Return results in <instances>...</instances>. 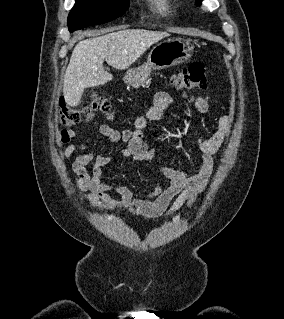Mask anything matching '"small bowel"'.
Listing matches in <instances>:
<instances>
[{"label":"small bowel","instance_id":"1","mask_svg":"<svg viewBox=\"0 0 284 319\" xmlns=\"http://www.w3.org/2000/svg\"><path fill=\"white\" fill-rule=\"evenodd\" d=\"M199 113H207L210 107L209 99L202 96H187ZM173 103V97L166 91H159L154 96L153 105L145 117H138L134 128L122 132L108 126L101 125L99 134L111 142L122 141L126 147L120 151L124 158L137 161L159 160L166 162V157L155 149H150L144 141V130L148 122L163 119L165 111ZM232 120L223 116L218 120L217 129L209 135L198 136L195 144L201 156L194 171H184L171 165H164L161 172L168 184L157 185L148 192L150 199L134 198L133 192L125 185L110 184L103 178V167L108 164L112 156L94 154L84 144L71 143L75 137L73 130H63L59 134V143L68 144L62 151V158L69 159L75 152L81 151L72 163V170L77 175L76 188L82 193L93 207L100 210L112 211L124 209L135 216L146 218L167 217L178 211L183 205L192 208L196 196L202 193L210 179L213 168V155L218 152L225 138L229 135ZM91 166L90 171L87 169ZM114 189L119 199L112 198L107 191Z\"/></svg>","mask_w":284,"mask_h":319}]
</instances>
